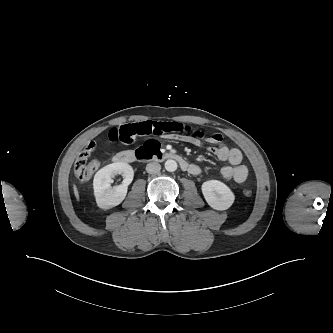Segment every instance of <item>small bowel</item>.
Segmentation results:
<instances>
[{"instance_id": "1", "label": "small bowel", "mask_w": 333, "mask_h": 333, "mask_svg": "<svg viewBox=\"0 0 333 333\" xmlns=\"http://www.w3.org/2000/svg\"><path fill=\"white\" fill-rule=\"evenodd\" d=\"M151 134L183 141L196 147H199L201 139L205 138L208 142L215 144V146L209 148V151L218 159L229 163L220 170L223 179L243 183L248 177V168L242 164V153L240 150L227 147L219 133L206 134L203 130L191 125L157 121L124 124L112 128L108 133V139L112 142L120 141L125 144H132L138 137ZM190 173L193 175L200 174L201 167L192 164Z\"/></svg>"}]
</instances>
